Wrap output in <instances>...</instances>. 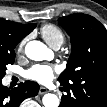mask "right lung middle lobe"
<instances>
[{
  "instance_id": "right-lung-middle-lobe-1",
  "label": "right lung middle lobe",
  "mask_w": 107,
  "mask_h": 107,
  "mask_svg": "<svg viewBox=\"0 0 107 107\" xmlns=\"http://www.w3.org/2000/svg\"><path fill=\"white\" fill-rule=\"evenodd\" d=\"M14 60H15V54H13L12 56L0 58V81L5 75V70L7 69L6 65L13 64Z\"/></svg>"
}]
</instances>
